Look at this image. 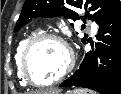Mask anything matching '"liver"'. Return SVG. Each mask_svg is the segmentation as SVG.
I'll return each mask as SVG.
<instances>
[{
    "mask_svg": "<svg viewBox=\"0 0 121 94\" xmlns=\"http://www.w3.org/2000/svg\"><path fill=\"white\" fill-rule=\"evenodd\" d=\"M33 94H58L57 91L54 90H46V91H41V92H35Z\"/></svg>",
    "mask_w": 121,
    "mask_h": 94,
    "instance_id": "1",
    "label": "liver"
}]
</instances>
